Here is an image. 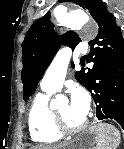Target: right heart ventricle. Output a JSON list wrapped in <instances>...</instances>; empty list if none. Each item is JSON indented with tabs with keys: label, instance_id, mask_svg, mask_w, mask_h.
I'll return each instance as SVG.
<instances>
[{
	"label": "right heart ventricle",
	"instance_id": "e07e8e85",
	"mask_svg": "<svg viewBox=\"0 0 124 149\" xmlns=\"http://www.w3.org/2000/svg\"><path fill=\"white\" fill-rule=\"evenodd\" d=\"M51 92L39 93L28 112V129L33 142L53 144L63 137L54 127L52 110L49 107Z\"/></svg>",
	"mask_w": 124,
	"mask_h": 149
}]
</instances>
